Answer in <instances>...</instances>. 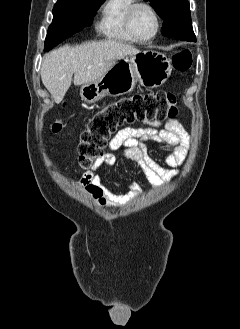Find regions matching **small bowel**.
<instances>
[{
  "mask_svg": "<svg viewBox=\"0 0 240 329\" xmlns=\"http://www.w3.org/2000/svg\"><path fill=\"white\" fill-rule=\"evenodd\" d=\"M190 137L180 119L159 122H145L143 127H127L120 130L109 143V149L115 153H106L99 157L92 168L79 181L78 186L91 196L100 207H120L134 199L140 192V186L128 184V192L117 194L106 186L97 169L113 166L119 157L134 161L154 188L161 187L176 175L169 168L183 163L189 146ZM147 143H155L165 152V163L169 168L158 163L148 152Z\"/></svg>",
  "mask_w": 240,
  "mask_h": 329,
  "instance_id": "1",
  "label": "small bowel"
}]
</instances>
